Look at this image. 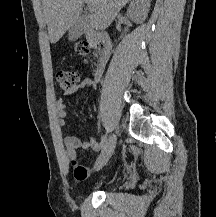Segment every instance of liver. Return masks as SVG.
<instances>
[{
    "instance_id": "obj_1",
    "label": "liver",
    "mask_w": 216,
    "mask_h": 217,
    "mask_svg": "<svg viewBox=\"0 0 216 217\" xmlns=\"http://www.w3.org/2000/svg\"><path fill=\"white\" fill-rule=\"evenodd\" d=\"M43 13L51 43H56L77 21L81 20V6L91 8L84 24L96 30L111 25L119 11L129 0H43Z\"/></svg>"
}]
</instances>
